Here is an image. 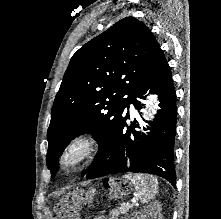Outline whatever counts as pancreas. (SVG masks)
<instances>
[{"label":"pancreas","instance_id":"cf45deb5","mask_svg":"<svg viewBox=\"0 0 221 219\" xmlns=\"http://www.w3.org/2000/svg\"><path fill=\"white\" fill-rule=\"evenodd\" d=\"M131 209V206H121L117 209H113L110 211L109 215L111 216L108 219H118V217L122 214H126Z\"/></svg>","mask_w":221,"mask_h":219}]
</instances>
